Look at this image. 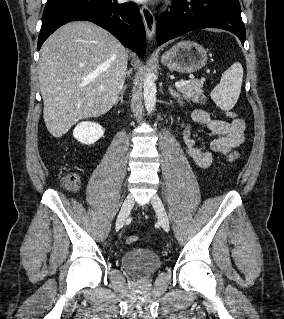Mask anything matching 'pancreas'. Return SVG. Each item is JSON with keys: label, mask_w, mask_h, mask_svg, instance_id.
Returning <instances> with one entry per match:
<instances>
[{"label": "pancreas", "mask_w": 284, "mask_h": 319, "mask_svg": "<svg viewBox=\"0 0 284 319\" xmlns=\"http://www.w3.org/2000/svg\"><path fill=\"white\" fill-rule=\"evenodd\" d=\"M202 87V81H191L178 88V90L183 94L186 100L203 105L206 103L207 98L203 94Z\"/></svg>", "instance_id": "1"}]
</instances>
